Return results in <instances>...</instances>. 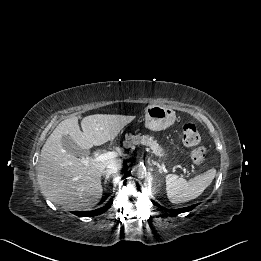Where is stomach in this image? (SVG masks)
Instances as JSON below:
<instances>
[{"mask_svg":"<svg viewBox=\"0 0 261 261\" xmlns=\"http://www.w3.org/2000/svg\"><path fill=\"white\" fill-rule=\"evenodd\" d=\"M175 119V111L169 106L152 104L145 109V126L152 131L168 128L175 122Z\"/></svg>","mask_w":261,"mask_h":261,"instance_id":"1","label":"stomach"}]
</instances>
